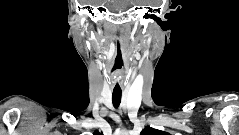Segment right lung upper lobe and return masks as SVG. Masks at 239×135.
Here are the masks:
<instances>
[{
  "instance_id": "1",
  "label": "right lung upper lobe",
  "mask_w": 239,
  "mask_h": 135,
  "mask_svg": "<svg viewBox=\"0 0 239 135\" xmlns=\"http://www.w3.org/2000/svg\"><path fill=\"white\" fill-rule=\"evenodd\" d=\"M101 134L102 133H99V131H97V130L94 132V135H101Z\"/></svg>"
}]
</instances>
